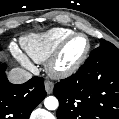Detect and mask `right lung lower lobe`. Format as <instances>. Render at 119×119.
<instances>
[{"label":"right lung lower lobe","mask_w":119,"mask_h":119,"mask_svg":"<svg viewBox=\"0 0 119 119\" xmlns=\"http://www.w3.org/2000/svg\"><path fill=\"white\" fill-rule=\"evenodd\" d=\"M5 69L6 65L0 63V119H29L46 96L44 79L33 77L21 85L11 84Z\"/></svg>","instance_id":"1"}]
</instances>
